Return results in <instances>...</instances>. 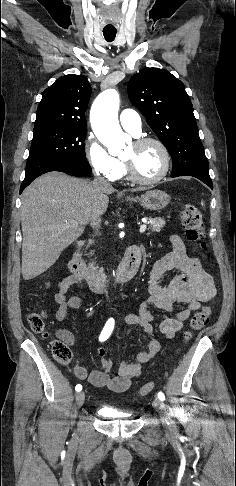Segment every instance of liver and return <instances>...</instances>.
I'll use <instances>...</instances> for the list:
<instances>
[{
  "label": "liver",
  "instance_id": "obj_1",
  "mask_svg": "<svg viewBox=\"0 0 236 486\" xmlns=\"http://www.w3.org/2000/svg\"><path fill=\"white\" fill-rule=\"evenodd\" d=\"M113 191L112 187L98 190L85 179L61 172L44 174L31 183L21 197L23 279L49 269L86 224L106 212Z\"/></svg>",
  "mask_w": 236,
  "mask_h": 486
}]
</instances>
